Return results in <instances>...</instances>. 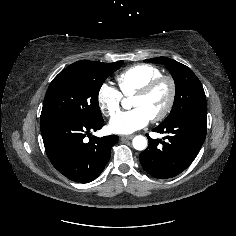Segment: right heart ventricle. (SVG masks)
Segmentation results:
<instances>
[{
    "instance_id": "1",
    "label": "right heart ventricle",
    "mask_w": 236,
    "mask_h": 236,
    "mask_svg": "<svg viewBox=\"0 0 236 236\" xmlns=\"http://www.w3.org/2000/svg\"><path fill=\"white\" fill-rule=\"evenodd\" d=\"M160 75L159 68L141 64L127 68L116 77V80L122 96L129 97Z\"/></svg>"
}]
</instances>
